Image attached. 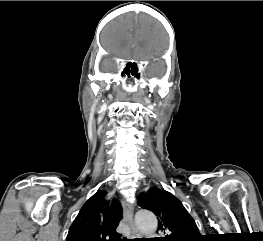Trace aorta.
Wrapping results in <instances>:
<instances>
[{"label": "aorta", "instance_id": "aorta-1", "mask_svg": "<svg viewBox=\"0 0 263 241\" xmlns=\"http://www.w3.org/2000/svg\"><path fill=\"white\" fill-rule=\"evenodd\" d=\"M136 225L138 229L145 235L153 234L157 229V219L154 213L146 209L137 211Z\"/></svg>", "mask_w": 263, "mask_h": 241}]
</instances>
